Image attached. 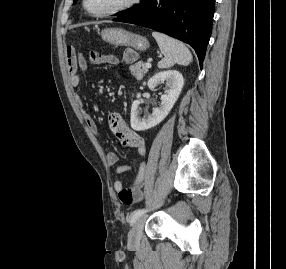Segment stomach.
<instances>
[{
	"instance_id": "0dacf381",
	"label": "stomach",
	"mask_w": 286,
	"mask_h": 269,
	"mask_svg": "<svg viewBox=\"0 0 286 269\" xmlns=\"http://www.w3.org/2000/svg\"><path fill=\"white\" fill-rule=\"evenodd\" d=\"M102 39L112 45L131 46L139 50L149 48V42L145 37L130 33L119 28L104 29L101 32Z\"/></svg>"
}]
</instances>
